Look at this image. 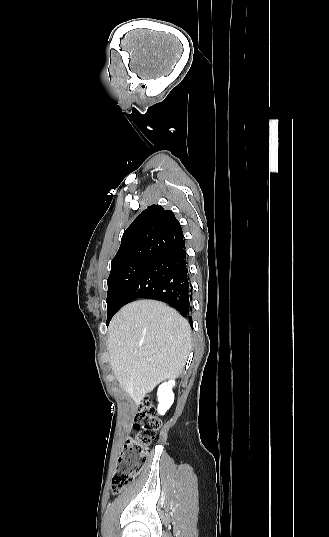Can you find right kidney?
Here are the masks:
<instances>
[{
	"instance_id": "right-kidney-1",
	"label": "right kidney",
	"mask_w": 329,
	"mask_h": 537,
	"mask_svg": "<svg viewBox=\"0 0 329 537\" xmlns=\"http://www.w3.org/2000/svg\"><path fill=\"white\" fill-rule=\"evenodd\" d=\"M175 386L174 380L162 383L157 392L158 408L157 411L160 415H164L166 411L171 407L174 402L173 387Z\"/></svg>"
}]
</instances>
